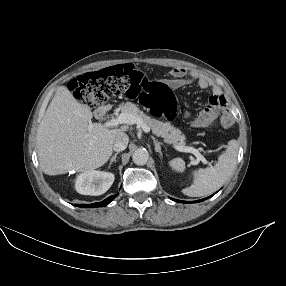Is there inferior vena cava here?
Segmentation results:
<instances>
[{"label":"inferior vena cava","instance_id":"602c4592","mask_svg":"<svg viewBox=\"0 0 286 286\" xmlns=\"http://www.w3.org/2000/svg\"><path fill=\"white\" fill-rule=\"evenodd\" d=\"M129 142V137L125 133H120L114 140L113 149L114 151H123L126 149Z\"/></svg>","mask_w":286,"mask_h":286}]
</instances>
